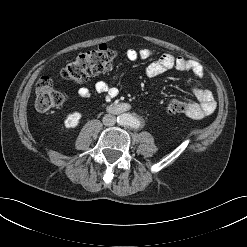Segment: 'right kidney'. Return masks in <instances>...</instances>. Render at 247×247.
<instances>
[{
    "instance_id": "right-kidney-1",
    "label": "right kidney",
    "mask_w": 247,
    "mask_h": 247,
    "mask_svg": "<svg viewBox=\"0 0 247 247\" xmlns=\"http://www.w3.org/2000/svg\"><path fill=\"white\" fill-rule=\"evenodd\" d=\"M82 115L79 112L71 113L67 116L64 121V124L67 128H74L79 124Z\"/></svg>"
}]
</instances>
